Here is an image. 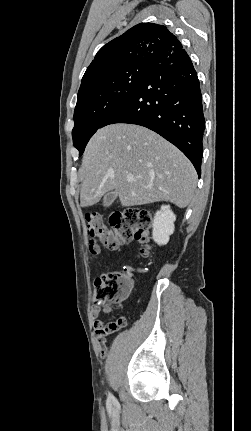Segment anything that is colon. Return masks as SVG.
Instances as JSON below:
<instances>
[{
    "label": "colon",
    "mask_w": 251,
    "mask_h": 431,
    "mask_svg": "<svg viewBox=\"0 0 251 431\" xmlns=\"http://www.w3.org/2000/svg\"><path fill=\"white\" fill-rule=\"evenodd\" d=\"M85 219L89 247L93 255L100 253V244L114 250L132 240L142 244V254L149 250L152 216L148 210L131 207L112 214L108 222H105L98 213L89 212ZM137 271L131 265H124L122 271L107 272L96 278L92 296L94 304L109 311L114 304L122 302L131 290L132 276ZM125 323V318L120 317L108 327L116 330Z\"/></svg>",
    "instance_id": "1"
}]
</instances>
